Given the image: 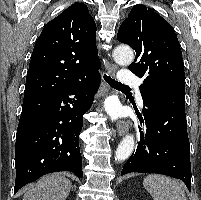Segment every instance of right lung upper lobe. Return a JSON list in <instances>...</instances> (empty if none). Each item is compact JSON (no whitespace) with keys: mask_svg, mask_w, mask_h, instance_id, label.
<instances>
[{"mask_svg":"<svg viewBox=\"0 0 201 200\" xmlns=\"http://www.w3.org/2000/svg\"><path fill=\"white\" fill-rule=\"evenodd\" d=\"M95 34V21L82 3L48 22L33 49L24 99L61 91L98 72Z\"/></svg>","mask_w":201,"mask_h":200,"instance_id":"obj_1","label":"right lung upper lobe"}]
</instances>
